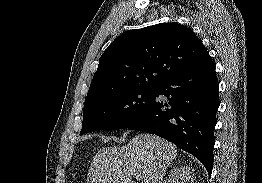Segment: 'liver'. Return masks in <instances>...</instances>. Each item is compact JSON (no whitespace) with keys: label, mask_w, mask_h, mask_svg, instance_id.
Wrapping results in <instances>:
<instances>
[{"label":"liver","mask_w":262,"mask_h":183,"mask_svg":"<svg viewBox=\"0 0 262 183\" xmlns=\"http://www.w3.org/2000/svg\"><path fill=\"white\" fill-rule=\"evenodd\" d=\"M177 157L174 144L151 134H138L123 147H106L94 156L88 183H134L139 175L142 183H161Z\"/></svg>","instance_id":"liver-1"}]
</instances>
